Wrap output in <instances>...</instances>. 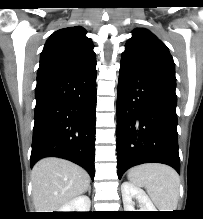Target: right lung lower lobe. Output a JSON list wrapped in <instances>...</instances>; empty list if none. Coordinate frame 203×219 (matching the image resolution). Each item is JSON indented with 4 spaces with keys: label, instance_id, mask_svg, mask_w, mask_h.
<instances>
[{
    "label": "right lung lower lobe",
    "instance_id": "98d812e1",
    "mask_svg": "<svg viewBox=\"0 0 203 219\" xmlns=\"http://www.w3.org/2000/svg\"><path fill=\"white\" fill-rule=\"evenodd\" d=\"M96 74V62L38 73L31 166L60 157L94 179Z\"/></svg>",
    "mask_w": 203,
    "mask_h": 219
}]
</instances>
